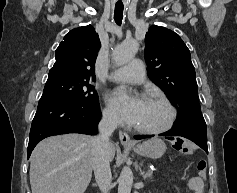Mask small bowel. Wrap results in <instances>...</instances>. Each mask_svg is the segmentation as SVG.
Here are the masks:
<instances>
[{
    "mask_svg": "<svg viewBox=\"0 0 237 193\" xmlns=\"http://www.w3.org/2000/svg\"><path fill=\"white\" fill-rule=\"evenodd\" d=\"M187 187L194 193H204V182L199 176L189 177Z\"/></svg>",
    "mask_w": 237,
    "mask_h": 193,
    "instance_id": "obj_1",
    "label": "small bowel"
}]
</instances>
